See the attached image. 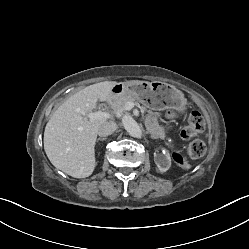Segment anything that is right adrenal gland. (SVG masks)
<instances>
[{
  "label": "right adrenal gland",
  "mask_w": 249,
  "mask_h": 249,
  "mask_svg": "<svg viewBox=\"0 0 249 249\" xmlns=\"http://www.w3.org/2000/svg\"><path fill=\"white\" fill-rule=\"evenodd\" d=\"M104 140H106V138H98L97 141H104Z\"/></svg>",
  "instance_id": "1"
}]
</instances>
